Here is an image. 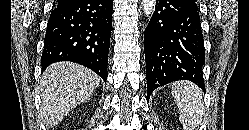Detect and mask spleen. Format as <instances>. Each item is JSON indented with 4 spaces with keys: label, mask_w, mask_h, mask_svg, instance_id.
Masks as SVG:
<instances>
[{
    "label": "spleen",
    "mask_w": 249,
    "mask_h": 130,
    "mask_svg": "<svg viewBox=\"0 0 249 130\" xmlns=\"http://www.w3.org/2000/svg\"><path fill=\"white\" fill-rule=\"evenodd\" d=\"M172 96L179 109V119L184 129L196 130L204 116L200 88L189 81H177L172 84Z\"/></svg>",
    "instance_id": "1"
}]
</instances>
